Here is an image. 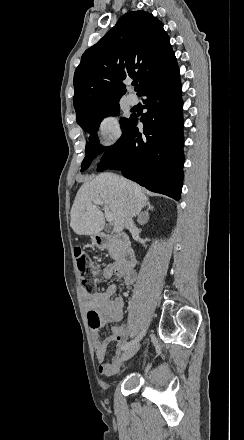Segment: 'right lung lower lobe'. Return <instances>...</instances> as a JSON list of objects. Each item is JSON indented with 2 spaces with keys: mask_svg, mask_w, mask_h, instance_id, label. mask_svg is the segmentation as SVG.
<instances>
[{
  "mask_svg": "<svg viewBox=\"0 0 244 440\" xmlns=\"http://www.w3.org/2000/svg\"><path fill=\"white\" fill-rule=\"evenodd\" d=\"M139 96L148 111L131 116L119 141L107 150L98 171L121 170L122 175L147 189L180 199L183 181V117L177 62L147 79ZM144 124L143 132L137 128Z\"/></svg>",
  "mask_w": 244,
  "mask_h": 440,
  "instance_id": "1",
  "label": "right lung lower lobe"
}]
</instances>
